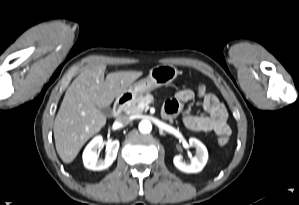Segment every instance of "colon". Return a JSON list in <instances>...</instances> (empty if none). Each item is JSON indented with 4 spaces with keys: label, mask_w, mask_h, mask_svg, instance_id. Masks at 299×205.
<instances>
[{
    "label": "colon",
    "mask_w": 299,
    "mask_h": 205,
    "mask_svg": "<svg viewBox=\"0 0 299 205\" xmlns=\"http://www.w3.org/2000/svg\"><path fill=\"white\" fill-rule=\"evenodd\" d=\"M196 91L199 96H204L207 93L206 86L203 84H198L196 86ZM217 142L220 146H224L229 142V134H222L218 136Z\"/></svg>",
    "instance_id": "obj_1"
}]
</instances>
